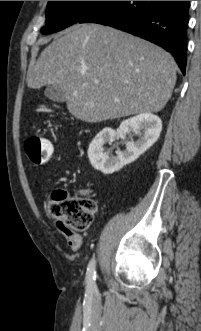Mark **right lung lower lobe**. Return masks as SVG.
<instances>
[{
	"label": "right lung lower lobe",
	"mask_w": 201,
	"mask_h": 331,
	"mask_svg": "<svg viewBox=\"0 0 201 331\" xmlns=\"http://www.w3.org/2000/svg\"><path fill=\"white\" fill-rule=\"evenodd\" d=\"M190 1H105L80 19L99 23L149 40L186 68V32Z\"/></svg>",
	"instance_id": "98d812e1"
}]
</instances>
